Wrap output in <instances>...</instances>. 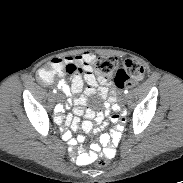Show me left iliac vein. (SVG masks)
I'll list each match as a JSON object with an SVG mask.
<instances>
[{"label":"left iliac vein","mask_w":183,"mask_h":183,"mask_svg":"<svg viewBox=\"0 0 183 183\" xmlns=\"http://www.w3.org/2000/svg\"><path fill=\"white\" fill-rule=\"evenodd\" d=\"M126 99H127V97H126L125 95H123L122 101H123V102H126Z\"/></svg>","instance_id":"1"}]
</instances>
